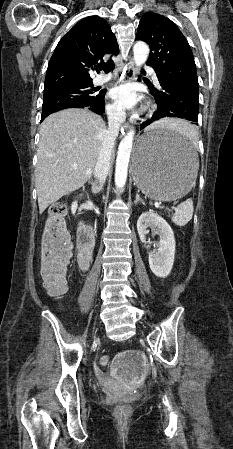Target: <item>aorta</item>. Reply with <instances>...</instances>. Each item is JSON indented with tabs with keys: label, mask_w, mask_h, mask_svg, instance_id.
<instances>
[{
	"label": "aorta",
	"mask_w": 233,
	"mask_h": 449,
	"mask_svg": "<svg viewBox=\"0 0 233 449\" xmlns=\"http://www.w3.org/2000/svg\"><path fill=\"white\" fill-rule=\"evenodd\" d=\"M133 52L135 64L138 68H140V66L144 64L148 58L149 47L146 43L138 41L133 46ZM134 135L135 130L134 128H131L121 140L118 147L115 169V185L119 189L123 188L126 184L128 164L132 151Z\"/></svg>",
	"instance_id": "aorta-1"
}]
</instances>
